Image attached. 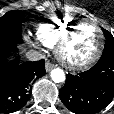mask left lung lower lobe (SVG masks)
Wrapping results in <instances>:
<instances>
[{
    "label": "left lung lower lobe",
    "instance_id": "0a47b994",
    "mask_svg": "<svg viewBox=\"0 0 114 114\" xmlns=\"http://www.w3.org/2000/svg\"><path fill=\"white\" fill-rule=\"evenodd\" d=\"M114 96V57H101L88 71L67 75L59 97L76 114H95L105 108Z\"/></svg>",
    "mask_w": 114,
    "mask_h": 114
}]
</instances>
